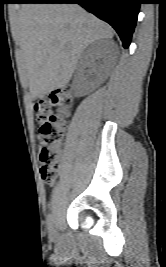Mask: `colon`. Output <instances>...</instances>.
I'll return each instance as SVG.
<instances>
[{"label":"colon","instance_id":"obj_1","mask_svg":"<svg viewBox=\"0 0 166 267\" xmlns=\"http://www.w3.org/2000/svg\"><path fill=\"white\" fill-rule=\"evenodd\" d=\"M74 96L69 87L51 92L34 105L38 123L39 159L44 181L52 182L61 166L60 143L70 116Z\"/></svg>","mask_w":166,"mask_h":267}]
</instances>
